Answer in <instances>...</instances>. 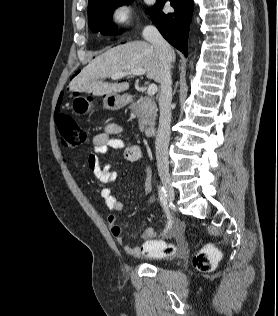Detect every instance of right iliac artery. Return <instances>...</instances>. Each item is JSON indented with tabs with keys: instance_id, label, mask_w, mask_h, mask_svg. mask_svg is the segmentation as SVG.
I'll list each match as a JSON object with an SVG mask.
<instances>
[{
	"instance_id": "right-iliac-artery-1",
	"label": "right iliac artery",
	"mask_w": 278,
	"mask_h": 316,
	"mask_svg": "<svg viewBox=\"0 0 278 316\" xmlns=\"http://www.w3.org/2000/svg\"><path fill=\"white\" fill-rule=\"evenodd\" d=\"M159 190V199H160V203L167 215L168 218V223L166 226V229L164 230V234L168 232V230H170L171 226H172V218L170 216V212H169V208H168V203H167V193L166 190L163 186L159 185L158 187Z\"/></svg>"
}]
</instances>
